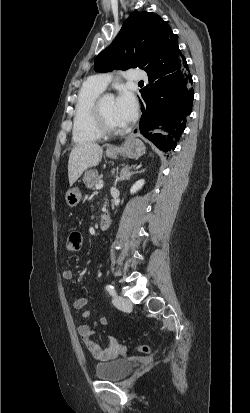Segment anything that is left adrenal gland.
Wrapping results in <instances>:
<instances>
[{
    "label": "left adrenal gland",
    "instance_id": "left-adrenal-gland-1",
    "mask_svg": "<svg viewBox=\"0 0 250 413\" xmlns=\"http://www.w3.org/2000/svg\"><path fill=\"white\" fill-rule=\"evenodd\" d=\"M129 169H130V168H125V169L121 172L119 181L129 179V178H130L132 175H134V174L144 172V170L133 172V171H130Z\"/></svg>",
    "mask_w": 250,
    "mask_h": 413
}]
</instances>
